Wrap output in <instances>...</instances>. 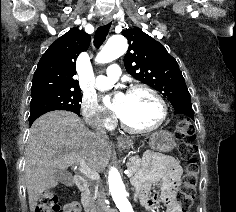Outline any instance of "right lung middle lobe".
<instances>
[{"label": "right lung middle lobe", "instance_id": "dd1d6c3e", "mask_svg": "<svg viewBox=\"0 0 236 212\" xmlns=\"http://www.w3.org/2000/svg\"><path fill=\"white\" fill-rule=\"evenodd\" d=\"M80 89L47 90L32 94L30 117L53 110H67L80 115Z\"/></svg>", "mask_w": 236, "mask_h": 212}]
</instances>
